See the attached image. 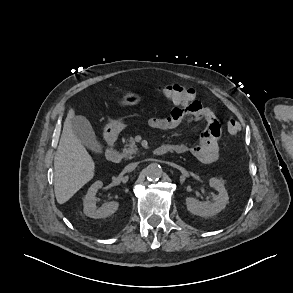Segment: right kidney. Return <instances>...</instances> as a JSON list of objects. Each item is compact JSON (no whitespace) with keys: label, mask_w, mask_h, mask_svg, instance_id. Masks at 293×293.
Here are the masks:
<instances>
[{"label":"right kidney","mask_w":293,"mask_h":293,"mask_svg":"<svg viewBox=\"0 0 293 293\" xmlns=\"http://www.w3.org/2000/svg\"><path fill=\"white\" fill-rule=\"evenodd\" d=\"M102 186V181H96L91 185L85 195L83 211L88 217L95 219L106 218L114 214L119 207V203L116 201L106 202L101 207L96 206L97 199L95 198V195Z\"/></svg>","instance_id":"ca27d5eb"}]
</instances>
